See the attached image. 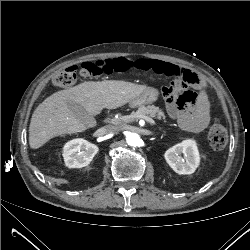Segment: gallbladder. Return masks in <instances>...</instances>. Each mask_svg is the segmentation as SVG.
I'll return each instance as SVG.
<instances>
[{
    "label": "gallbladder",
    "mask_w": 250,
    "mask_h": 250,
    "mask_svg": "<svg viewBox=\"0 0 250 250\" xmlns=\"http://www.w3.org/2000/svg\"><path fill=\"white\" fill-rule=\"evenodd\" d=\"M67 105L73 115L81 122L86 123L91 120V115L81 104L74 101H69L67 102Z\"/></svg>",
    "instance_id": "1"
}]
</instances>
